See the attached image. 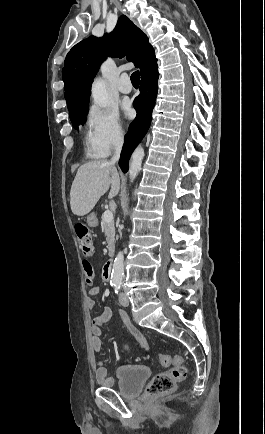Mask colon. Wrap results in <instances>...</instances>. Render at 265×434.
<instances>
[{
	"mask_svg": "<svg viewBox=\"0 0 265 434\" xmlns=\"http://www.w3.org/2000/svg\"><path fill=\"white\" fill-rule=\"evenodd\" d=\"M74 231L82 254L91 258L96 250L93 235L88 226L84 223L78 222L74 225ZM84 274L87 282H92L95 269L89 261L84 262ZM159 363L163 366L169 364H172L173 366L171 369L165 372H159L153 376L151 382L146 388L147 393L150 395L173 391L179 382L185 380L187 375V369L182 364V360L179 356L160 355Z\"/></svg>",
	"mask_w": 265,
	"mask_h": 434,
	"instance_id": "colon-1",
	"label": "colon"
}]
</instances>
